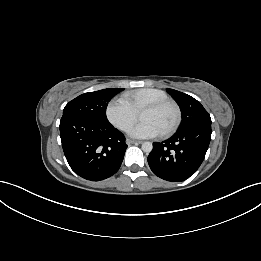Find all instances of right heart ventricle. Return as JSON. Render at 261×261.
<instances>
[{
	"label": "right heart ventricle",
	"mask_w": 261,
	"mask_h": 261,
	"mask_svg": "<svg viewBox=\"0 0 261 261\" xmlns=\"http://www.w3.org/2000/svg\"><path fill=\"white\" fill-rule=\"evenodd\" d=\"M124 98L139 112L150 103L167 100L168 96L164 91L159 89L143 88L126 94Z\"/></svg>",
	"instance_id": "obj_1"
}]
</instances>
